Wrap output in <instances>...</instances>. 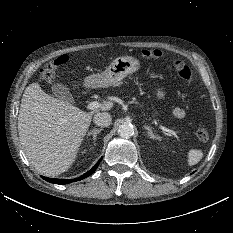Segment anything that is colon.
Listing matches in <instances>:
<instances>
[{
    "label": "colon",
    "instance_id": "colon-1",
    "mask_svg": "<svg viewBox=\"0 0 233 233\" xmlns=\"http://www.w3.org/2000/svg\"><path fill=\"white\" fill-rule=\"evenodd\" d=\"M141 54L144 58L147 59H155L163 56V52L158 49H153V50L144 49L142 50ZM68 61L69 58L67 55H60L54 60L48 62L40 70L42 77L45 80H51L53 78L55 68L65 65ZM173 64L177 69L178 75L183 80H185L188 83L193 81L194 79L193 71L187 64H184L181 60H175ZM196 136L200 141L203 142L207 141L209 138L207 130L202 127L197 129Z\"/></svg>",
    "mask_w": 233,
    "mask_h": 233
}]
</instances>
